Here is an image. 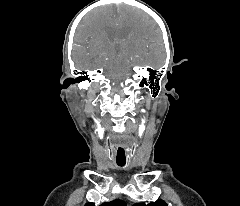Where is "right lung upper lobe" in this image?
Segmentation results:
<instances>
[{
  "instance_id": "obj_1",
  "label": "right lung upper lobe",
  "mask_w": 240,
  "mask_h": 206,
  "mask_svg": "<svg viewBox=\"0 0 240 206\" xmlns=\"http://www.w3.org/2000/svg\"><path fill=\"white\" fill-rule=\"evenodd\" d=\"M85 206H95L93 203H86ZM101 206H126V203L122 200L116 199L111 202H105Z\"/></svg>"
}]
</instances>
